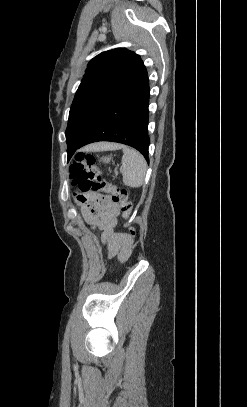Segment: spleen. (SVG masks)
<instances>
[{"mask_svg": "<svg viewBox=\"0 0 247 407\" xmlns=\"http://www.w3.org/2000/svg\"><path fill=\"white\" fill-rule=\"evenodd\" d=\"M122 165L120 172L123 176V184L132 188L143 185L146 174V161L136 150L123 146Z\"/></svg>", "mask_w": 247, "mask_h": 407, "instance_id": "1", "label": "spleen"}]
</instances>
